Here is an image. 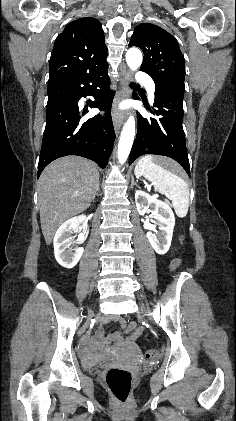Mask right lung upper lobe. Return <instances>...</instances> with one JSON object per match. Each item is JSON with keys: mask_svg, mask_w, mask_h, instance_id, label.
Returning a JSON list of instances; mask_svg holds the SVG:
<instances>
[{"mask_svg": "<svg viewBox=\"0 0 236 421\" xmlns=\"http://www.w3.org/2000/svg\"><path fill=\"white\" fill-rule=\"evenodd\" d=\"M104 41L97 19L84 17L69 23L55 41L48 84L107 66Z\"/></svg>", "mask_w": 236, "mask_h": 421, "instance_id": "right-lung-upper-lobe-1", "label": "right lung upper lobe"}]
</instances>
